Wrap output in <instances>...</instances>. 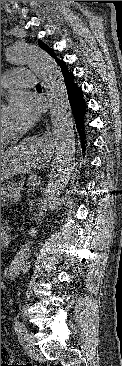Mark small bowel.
Wrapping results in <instances>:
<instances>
[{"instance_id":"small-bowel-1","label":"small bowel","mask_w":122,"mask_h":366,"mask_svg":"<svg viewBox=\"0 0 122 366\" xmlns=\"http://www.w3.org/2000/svg\"><path fill=\"white\" fill-rule=\"evenodd\" d=\"M14 269H15V268H14ZM14 271H16V270H13V269H12V272H9V273H13Z\"/></svg>"}]
</instances>
